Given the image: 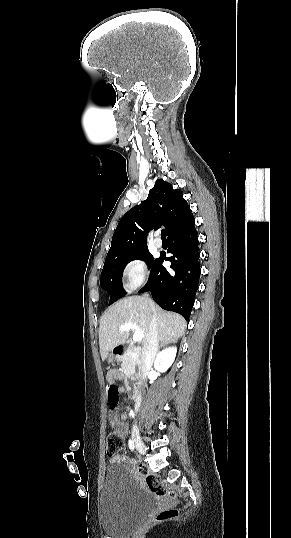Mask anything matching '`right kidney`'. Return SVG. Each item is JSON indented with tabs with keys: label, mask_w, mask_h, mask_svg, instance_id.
Segmentation results:
<instances>
[{
	"label": "right kidney",
	"mask_w": 291,
	"mask_h": 538,
	"mask_svg": "<svg viewBox=\"0 0 291 538\" xmlns=\"http://www.w3.org/2000/svg\"><path fill=\"white\" fill-rule=\"evenodd\" d=\"M177 348L172 346L161 351L154 362L156 371L165 372L172 365L176 357Z\"/></svg>",
	"instance_id": "right-kidney-1"
}]
</instances>
